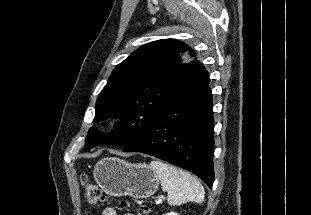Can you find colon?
Wrapping results in <instances>:
<instances>
[{
  "instance_id": "colon-1",
  "label": "colon",
  "mask_w": 311,
  "mask_h": 215,
  "mask_svg": "<svg viewBox=\"0 0 311 215\" xmlns=\"http://www.w3.org/2000/svg\"><path fill=\"white\" fill-rule=\"evenodd\" d=\"M81 183L85 189L86 198L89 204L98 205L106 200L104 193L101 189L90 183L86 175H81ZM122 207H126L127 203L125 201L121 202Z\"/></svg>"
}]
</instances>
